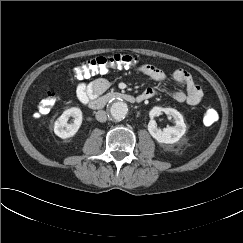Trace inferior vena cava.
Listing matches in <instances>:
<instances>
[{"label":"inferior vena cava","instance_id":"1","mask_svg":"<svg viewBox=\"0 0 243 243\" xmlns=\"http://www.w3.org/2000/svg\"><path fill=\"white\" fill-rule=\"evenodd\" d=\"M96 119L99 122H105L107 120V115L106 112L104 110H99L96 112Z\"/></svg>","mask_w":243,"mask_h":243}]
</instances>
